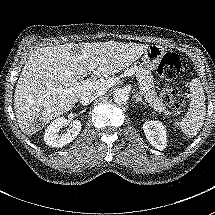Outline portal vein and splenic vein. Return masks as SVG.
I'll return each instance as SVG.
<instances>
[{
    "label": "portal vein and splenic vein",
    "instance_id": "18ae733b",
    "mask_svg": "<svg viewBox=\"0 0 215 215\" xmlns=\"http://www.w3.org/2000/svg\"><path fill=\"white\" fill-rule=\"evenodd\" d=\"M131 75H132V73L128 70H126L123 74L124 77H129ZM116 82H118V78H109L107 80H104V79L103 80H94V79L89 78L87 80H84L82 82V84L78 85L76 88H74V87L69 88L68 92H72V91L74 92V91H76L77 88L85 89V87H92V88L98 89V90H100V89L106 90V89L112 87ZM165 113L169 114L168 111H165Z\"/></svg>",
    "mask_w": 215,
    "mask_h": 215
}]
</instances>
